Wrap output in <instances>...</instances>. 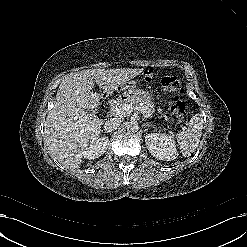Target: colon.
<instances>
[{
    "mask_svg": "<svg viewBox=\"0 0 247 247\" xmlns=\"http://www.w3.org/2000/svg\"><path fill=\"white\" fill-rule=\"evenodd\" d=\"M164 90L174 93L175 98L170 106L171 113L178 118L186 116V105L183 101L184 87L176 76H164L161 79Z\"/></svg>",
    "mask_w": 247,
    "mask_h": 247,
    "instance_id": "colon-1",
    "label": "colon"
}]
</instances>
